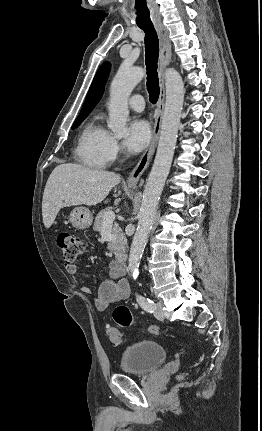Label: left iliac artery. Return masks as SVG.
Returning <instances> with one entry per match:
<instances>
[{
  "label": "left iliac artery",
  "instance_id": "44dca946",
  "mask_svg": "<svg viewBox=\"0 0 262 431\" xmlns=\"http://www.w3.org/2000/svg\"><path fill=\"white\" fill-rule=\"evenodd\" d=\"M136 300L139 305L147 312H153L155 308V303L153 300L146 298L142 295L136 294Z\"/></svg>",
  "mask_w": 262,
  "mask_h": 431
}]
</instances>
